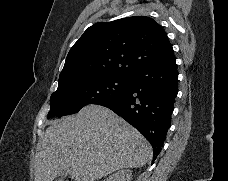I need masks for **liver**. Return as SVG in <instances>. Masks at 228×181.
<instances>
[{"label": "liver", "instance_id": "6515ba94", "mask_svg": "<svg viewBox=\"0 0 228 181\" xmlns=\"http://www.w3.org/2000/svg\"><path fill=\"white\" fill-rule=\"evenodd\" d=\"M49 125L38 143L35 181H54L64 171L72 181H99L144 167L152 155L145 137L106 107L87 105Z\"/></svg>", "mask_w": 228, "mask_h": 181}]
</instances>
